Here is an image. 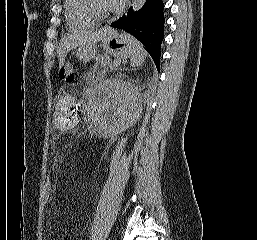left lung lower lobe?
Returning <instances> with one entry per match:
<instances>
[{"mask_svg":"<svg viewBox=\"0 0 257 240\" xmlns=\"http://www.w3.org/2000/svg\"><path fill=\"white\" fill-rule=\"evenodd\" d=\"M162 0H146L134 11L132 7L126 15L111 23V27L123 29L139 40L160 70V49L164 39V15Z\"/></svg>","mask_w":257,"mask_h":240,"instance_id":"0a47b994","label":"left lung lower lobe"}]
</instances>
